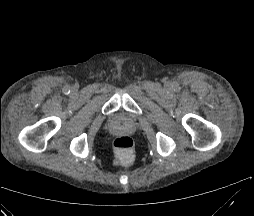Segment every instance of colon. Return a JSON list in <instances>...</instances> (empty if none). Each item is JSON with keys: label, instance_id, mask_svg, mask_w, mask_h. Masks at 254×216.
<instances>
[{"label": "colon", "instance_id": "obj_1", "mask_svg": "<svg viewBox=\"0 0 254 216\" xmlns=\"http://www.w3.org/2000/svg\"><path fill=\"white\" fill-rule=\"evenodd\" d=\"M114 150L120 162L124 164L129 163L134 152L133 140L127 135L118 136L114 140Z\"/></svg>", "mask_w": 254, "mask_h": 216}]
</instances>
